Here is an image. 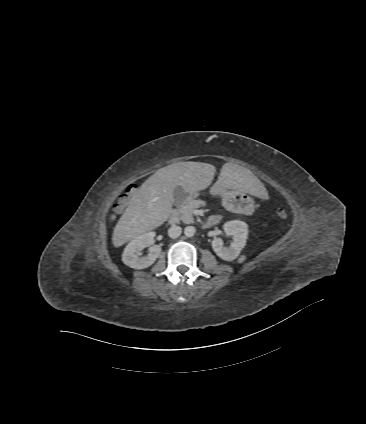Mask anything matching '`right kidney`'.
<instances>
[{
  "label": "right kidney",
  "mask_w": 366,
  "mask_h": 424,
  "mask_svg": "<svg viewBox=\"0 0 366 424\" xmlns=\"http://www.w3.org/2000/svg\"><path fill=\"white\" fill-rule=\"evenodd\" d=\"M155 232H146L135 237L128 243L122 254V261L125 265L134 269H144L151 266L161 253L159 245H153ZM149 247L145 257L140 256V250Z\"/></svg>",
  "instance_id": "1"
}]
</instances>
